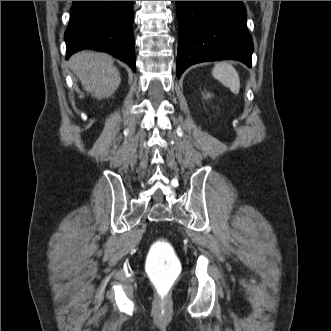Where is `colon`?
Listing matches in <instances>:
<instances>
[{"label":"colon","instance_id":"5ec220e1","mask_svg":"<svg viewBox=\"0 0 331 331\" xmlns=\"http://www.w3.org/2000/svg\"><path fill=\"white\" fill-rule=\"evenodd\" d=\"M146 272L160 302L166 303L181 274V263L168 241L160 239L152 244L146 260Z\"/></svg>","mask_w":331,"mask_h":331}]
</instances>
